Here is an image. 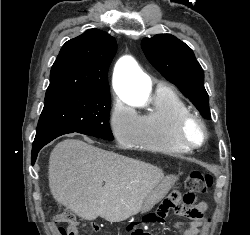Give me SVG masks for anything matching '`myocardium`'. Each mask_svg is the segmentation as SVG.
Segmentation results:
<instances>
[{"label": "myocardium", "mask_w": 250, "mask_h": 235, "mask_svg": "<svg viewBox=\"0 0 250 235\" xmlns=\"http://www.w3.org/2000/svg\"><path fill=\"white\" fill-rule=\"evenodd\" d=\"M191 123H196L202 132L200 141L196 143H191L186 136V129ZM174 133L177 142L188 151L201 148L208 139V130L204 120L200 115L193 112H187L177 119Z\"/></svg>", "instance_id": "myocardium-1"}]
</instances>
